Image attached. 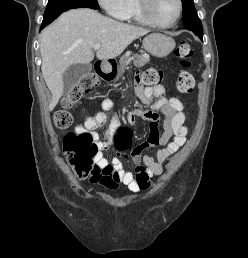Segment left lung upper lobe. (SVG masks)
I'll return each mask as SVG.
<instances>
[{"mask_svg": "<svg viewBox=\"0 0 248 258\" xmlns=\"http://www.w3.org/2000/svg\"><path fill=\"white\" fill-rule=\"evenodd\" d=\"M183 4V23L186 28L202 27L201 21L197 15L193 0H182Z\"/></svg>", "mask_w": 248, "mask_h": 258, "instance_id": "5c2ea615", "label": "left lung upper lobe"}]
</instances>
